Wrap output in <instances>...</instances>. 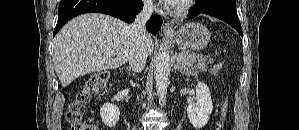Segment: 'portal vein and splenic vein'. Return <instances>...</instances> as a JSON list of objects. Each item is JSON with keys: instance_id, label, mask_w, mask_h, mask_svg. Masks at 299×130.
<instances>
[{"instance_id": "obj_1", "label": "portal vein and splenic vein", "mask_w": 299, "mask_h": 130, "mask_svg": "<svg viewBox=\"0 0 299 130\" xmlns=\"http://www.w3.org/2000/svg\"><path fill=\"white\" fill-rule=\"evenodd\" d=\"M108 55L111 56V55H113V53H108ZM182 58H183V55L179 54L178 57H177V61L181 62Z\"/></svg>"}]
</instances>
